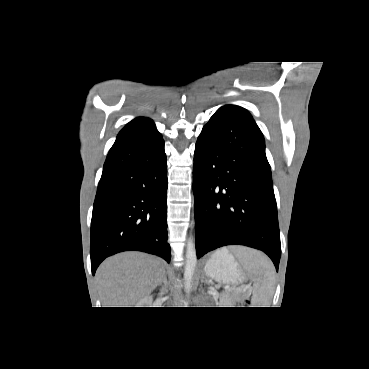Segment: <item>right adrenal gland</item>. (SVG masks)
<instances>
[{
	"label": "right adrenal gland",
	"mask_w": 369,
	"mask_h": 369,
	"mask_svg": "<svg viewBox=\"0 0 369 369\" xmlns=\"http://www.w3.org/2000/svg\"><path fill=\"white\" fill-rule=\"evenodd\" d=\"M163 283L164 287L167 286L168 282H167V276L166 274L163 275V279H162V282L159 283V286H161Z\"/></svg>",
	"instance_id": "right-adrenal-gland-1"
}]
</instances>
